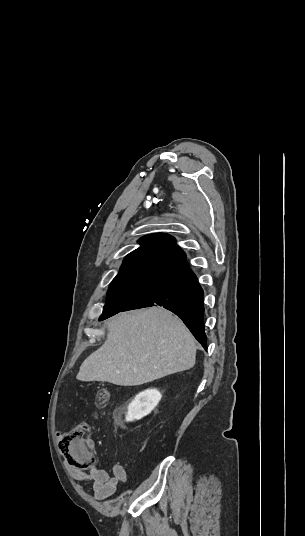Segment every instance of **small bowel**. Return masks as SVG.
<instances>
[{"label": "small bowel", "mask_w": 305, "mask_h": 536, "mask_svg": "<svg viewBox=\"0 0 305 536\" xmlns=\"http://www.w3.org/2000/svg\"><path fill=\"white\" fill-rule=\"evenodd\" d=\"M55 437H58V434H55ZM69 471L80 481H90L94 496L98 500L110 498L116 492L118 483L127 480L126 472L119 463L112 466L111 473L98 468L95 463L89 466L87 473L72 465L69 466Z\"/></svg>", "instance_id": "c3829d8e"}]
</instances>
